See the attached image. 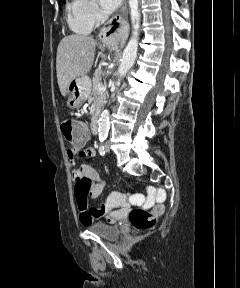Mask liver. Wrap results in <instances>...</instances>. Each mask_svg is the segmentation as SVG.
I'll return each mask as SVG.
<instances>
[{"instance_id":"liver-1","label":"liver","mask_w":240,"mask_h":288,"mask_svg":"<svg viewBox=\"0 0 240 288\" xmlns=\"http://www.w3.org/2000/svg\"><path fill=\"white\" fill-rule=\"evenodd\" d=\"M97 42L85 35L64 37L57 48L56 71L61 94L66 95L68 85L74 79L85 76L91 69Z\"/></svg>"}]
</instances>
